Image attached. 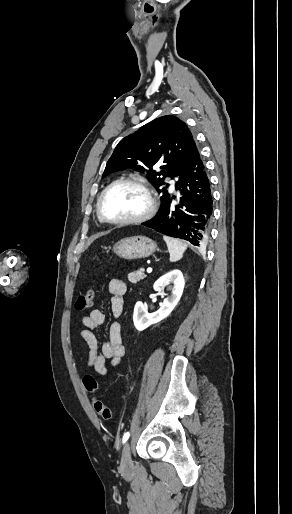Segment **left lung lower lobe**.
<instances>
[{
    "mask_svg": "<svg viewBox=\"0 0 292 514\" xmlns=\"http://www.w3.org/2000/svg\"><path fill=\"white\" fill-rule=\"evenodd\" d=\"M175 186L180 197L170 194L162 197L156 216L142 225L201 247L206 244L209 236L213 197L206 168L195 141L185 170ZM173 199L177 200V205L171 203Z\"/></svg>",
    "mask_w": 292,
    "mask_h": 514,
    "instance_id": "0a47b994",
    "label": "left lung lower lobe"
}]
</instances>
